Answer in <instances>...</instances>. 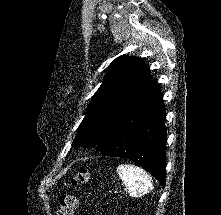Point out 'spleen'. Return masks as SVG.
I'll use <instances>...</instances> for the list:
<instances>
[{
	"label": "spleen",
	"instance_id": "spleen-1",
	"mask_svg": "<svg viewBox=\"0 0 221 215\" xmlns=\"http://www.w3.org/2000/svg\"><path fill=\"white\" fill-rule=\"evenodd\" d=\"M117 173L131 196H141L153 189L151 178L146 172L131 164H121Z\"/></svg>",
	"mask_w": 221,
	"mask_h": 215
}]
</instances>
